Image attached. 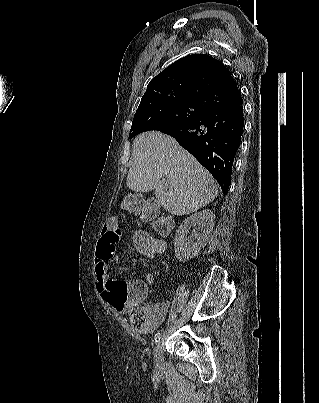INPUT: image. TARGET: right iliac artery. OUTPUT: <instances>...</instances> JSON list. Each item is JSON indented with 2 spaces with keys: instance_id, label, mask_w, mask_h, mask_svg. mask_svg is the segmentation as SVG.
I'll use <instances>...</instances> for the list:
<instances>
[{
  "instance_id": "obj_1",
  "label": "right iliac artery",
  "mask_w": 319,
  "mask_h": 403,
  "mask_svg": "<svg viewBox=\"0 0 319 403\" xmlns=\"http://www.w3.org/2000/svg\"><path fill=\"white\" fill-rule=\"evenodd\" d=\"M161 332H157L154 336V344H156L157 342H159V340L161 339Z\"/></svg>"
}]
</instances>
